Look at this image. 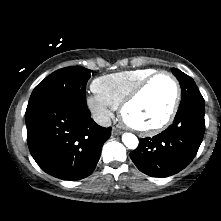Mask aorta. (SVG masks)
I'll return each instance as SVG.
<instances>
[{
    "label": "aorta",
    "mask_w": 221,
    "mask_h": 221,
    "mask_svg": "<svg viewBox=\"0 0 221 221\" xmlns=\"http://www.w3.org/2000/svg\"><path fill=\"white\" fill-rule=\"evenodd\" d=\"M122 142L129 149H136L138 146V138L132 133H124L122 135Z\"/></svg>",
    "instance_id": "762f6f07"
}]
</instances>
